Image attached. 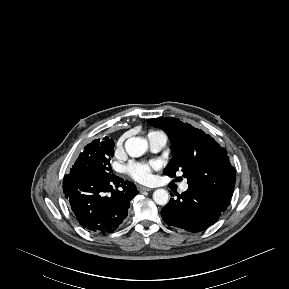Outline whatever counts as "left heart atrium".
Listing matches in <instances>:
<instances>
[{
    "label": "left heart atrium",
    "instance_id": "39dd6f15",
    "mask_svg": "<svg viewBox=\"0 0 289 289\" xmlns=\"http://www.w3.org/2000/svg\"><path fill=\"white\" fill-rule=\"evenodd\" d=\"M155 168L154 164L148 163H132L128 167V173L135 180L146 183L151 179L152 170Z\"/></svg>",
    "mask_w": 289,
    "mask_h": 289
}]
</instances>
